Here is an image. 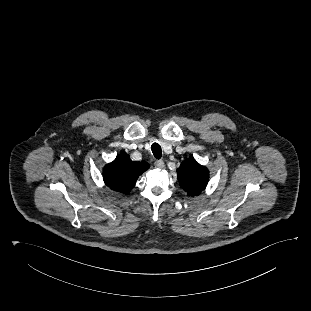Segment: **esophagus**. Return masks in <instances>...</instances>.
I'll use <instances>...</instances> for the list:
<instances>
[{
  "mask_svg": "<svg viewBox=\"0 0 311 311\" xmlns=\"http://www.w3.org/2000/svg\"><path fill=\"white\" fill-rule=\"evenodd\" d=\"M155 167L158 168V169H163V168H165V164H164V162L162 160H157L155 162Z\"/></svg>",
  "mask_w": 311,
  "mask_h": 311,
  "instance_id": "34e87169",
  "label": "esophagus"
}]
</instances>
